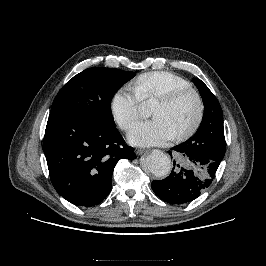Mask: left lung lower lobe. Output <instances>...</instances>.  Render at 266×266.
<instances>
[{"label":"left lung lower lobe","mask_w":266,"mask_h":266,"mask_svg":"<svg viewBox=\"0 0 266 266\" xmlns=\"http://www.w3.org/2000/svg\"><path fill=\"white\" fill-rule=\"evenodd\" d=\"M173 150L182 154L185 163L176 165L174 161L171 174L161 181H152L151 187L163 201L183 204L196 199L211 184L220 162L189 151L182 144Z\"/></svg>","instance_id":"obj_1"}]
</instances>
